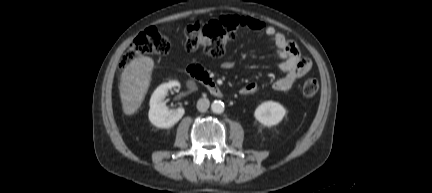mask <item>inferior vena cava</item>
<instances>
[{"mask_svg":"<svg viewBox=\"0 0 432 193\" xmlns=\"http://www.w3.org/2000/svg\"><path fill=\"white\" fill-rule=\"evenodd\" d=\"M210 102L207 98H201L197 102V109L200 112H205L208 110Z\"/></svg>","mask_w":432,"mask_h":193,"instance_id":"inferior-vena-cava-1","label":"inferior vena cava"}]
</instances>
